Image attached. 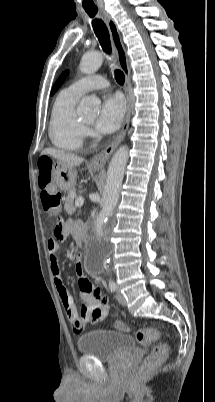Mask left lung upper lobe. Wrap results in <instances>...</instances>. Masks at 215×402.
<instances>
[{"mask_svg": "<svg viewBox=\"0 0 215 402\" xmlns=\"http://www.w3.org/2000/svg\"><path fill=\"white\" fill-rule=\"evenodd\" d=\"M68 75V71H65L61 74V76L59 77V79L57 80V82L54 84L52 91H51V95H53L58 88L62 85L63 81L65 80V78Z\"/></svg>", "mask_w": 215, "mask_h": 402, "instance_id": "5c2ea615", "label": "left lung upper lobe"}]
</instances>
